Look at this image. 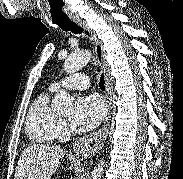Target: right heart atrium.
Segmentation results:
<instances>
[{"instance_id": "d8ad5b80", "label": "right heart atrium", "mask_w": 183, "mask_h": 179, "mask_svg": "<svg viewBox=\"0 0 183 179\" xmlns=\"http://www.w3.org/2000/svg\"><path fill=\"white\" fill-rule=\"evenodd\" d=\"M66 130V126L64 121L59 119L58 124H57V133H63Z\"/></svg>"}]
</instances>
